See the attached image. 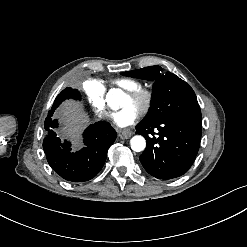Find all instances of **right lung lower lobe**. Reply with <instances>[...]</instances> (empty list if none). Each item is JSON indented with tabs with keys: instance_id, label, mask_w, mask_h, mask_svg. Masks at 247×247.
I'll use <instances>...</instances> for the list:
<instances>
[{
	"instance_id": "1",
	"label": "right lung lower lobe",
	"mask_w": 247,
	"mask_h": 247,
	"mask_svg": "<svg viewBox=\"0 0 247 247\" xmlns=\"http://www.w3.org/2000/svg\"><path fill=\"white\" fill-rule=\"evenodd\" d=\"M79 99L78 92L70 87L64 89L55 99L45 120L47 135L43 149L51 168L63 179L84 182L95 177L102 169L109 147L114 143L117 133L105 121L91 124L84 132L85 147L71 152V144L61 141L54 128L57 121L52 119L56 108L66 99Z\"/></svg>"
}]
</instances>
